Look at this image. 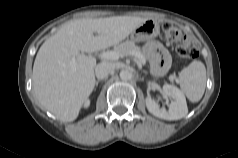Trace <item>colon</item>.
Segmentation results:
<instances>
[{"label": "colon", "instance_id": "obj_1", "mask_svg": "<svg viewBox=\"0 0 238 158\" xmlns=\"http://www.w3.org/2000/svg\"><path fill=\"white\" fill-rule=\"evenodd\" d=\"M162 31L164 40L168 44H175L177 54L186 59L196 58L198 51L195 45L181 32V30L171 23H163Z\"/></svg>", "mask_w": 238, "mask_h": 158}]
</instances>
